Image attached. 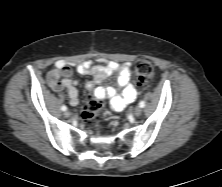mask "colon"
I'll return each instance as SVG.
<instances>
[{
    "label": "colon",
    "instance_id": "obj_1",
    "mask_svg": "<svg viewBox=\"0 0 222 187\" xmlns=\"http://www.w3.org/2000/svg\"><path fill=\"white\" fill-rule=\"evenodd\" d=\"M135 71L137 85L141 88H147L151 84L154 75L152 63L148 59H140L136 62ZM101 106V99L93 95L82 110L81 118L89 120L98 117Z\"/></svg>",
    "mask_w": 222,
    "mask_h": 187
}]
</instances>
